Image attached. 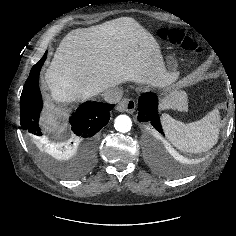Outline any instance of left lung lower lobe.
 I'll return each mask as SVG.
<instances>
[{"label": "left lung lower lobe", "mask_w": 236, "mask_h": 236, "mask_svg": "<svg viewBox=\"0 0 236 236\" xmlns=\"http://www.w3.org/2000/svg\"><path fill=\"white\" fill-rule=\"evenodd\" d=\"M157 109V95L153 92L143 93L138 101V121L149 124L151 127L163 134Z\"/></svg>", "instance_id": "left-lung-lower-lobe-1"}]
</instances>
